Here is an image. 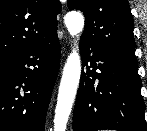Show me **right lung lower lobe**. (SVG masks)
Masks as SVG:
<instances>
[{
  "mask_svg": "<svg viewBox=\"0 0 147 131\" xmlns=\"http://www.w3.org/2000/svg\"><path fill=\"white\" fill-rule=\"evenodd\" d=\"M59 62L57 35L0 59V131H44Z\"/></svg>",
  "mask_w": 147,
  "mask_h": 131,
  "instance_id": "1",
  "label": "right lung lower lobe"
}]
</instances>
